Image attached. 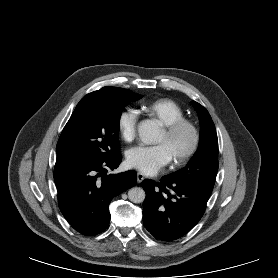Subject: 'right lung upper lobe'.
<instances>
[{
  "label": "right lung upper lobe",
  "instance_id": "1",
  "mask_svg": "<svg viewBox=\"0 0 278 278\" xmlns=\"http://www.w3.org/2000/svg\"><path fill=\"white\" fill-rule=\"evenodd\" d=\"M96 92L120 94V93H129L132 91L128 89L118 88V87H103L101 90H98Z\"/></svg>",
  "mask_w": 278,
  "mask_h": 278
}]
</instances>
